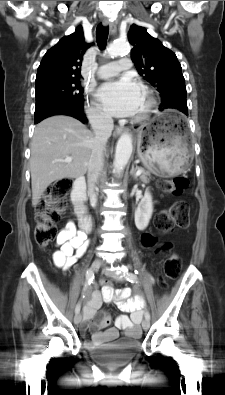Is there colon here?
<instances>
[{
  "instance_id": "1",
  "label": "colon",
  "mask_w": 225,
  "mask_h": 395,
  "mask_svg": "<svg viewBox=\"0 0 225 395\" xmlns=\"http://www.w3.org/2000/svg\"><path fill=\"white\" fill-rule=\"evenodd\" d=\"M188 186L185 176H174L164 178L159 182L160 189L170 196L181 195ZM72 188V180L63 178L53 182L43 194L38 206L35 225V240L40 248H46L57 237L58 230L56 222L60 219L62 211L66 206V196ZM190 222V208L187 202L177 201L170 208L162 210L156 217V229L167 234L176 228H186ZM156 238L151 234L142 236V244L151 247ZM165 245L164 249H168ZM182 262L178 255L171 254L164 262V275L160 285L165 287L169 280L176 279L181 272ZM159 273L158 269L154 270ZM101 285H111V278H101Z\"/></svg>"
}]
</instances>
